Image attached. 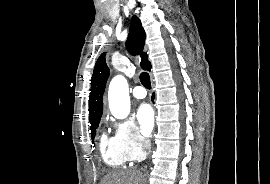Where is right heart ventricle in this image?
<instances>
[{"instance_id": "obj_1", "label": "right heart ventricle", "mask_w": 270, "mask_h": 184, "mask_svg": "<svg viewBox=\"0 0 270 184\" xmlns=\"http://www.w3.org/2000/svg\"><path fill=\"white\" fill-rule=\"evenodd\" d=\"M100 151L104 162L114 168L124 166L129 160L120 150L114 137L103 134L100 138Z\"/></svg>"}]
</instances>
